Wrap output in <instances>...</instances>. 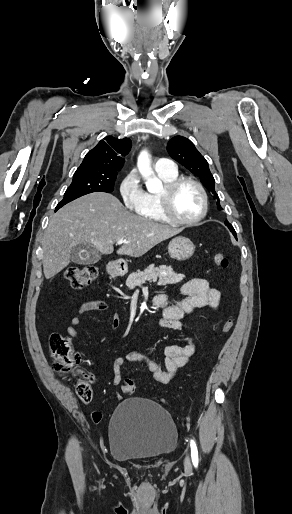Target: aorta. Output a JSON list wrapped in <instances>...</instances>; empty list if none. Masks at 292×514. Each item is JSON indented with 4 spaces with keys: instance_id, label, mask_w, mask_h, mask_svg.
Masks as SVG:
<instances>
[{
    "instance_id": "1",
    "label": "aorta",
    "mask_w": 292,
    "mask_h": 514,
    "mask_svg": "<svg viewBox=\"0 0 292 514\" xmlns=\"http://www.w3.org/2000/svg\"><path fill=\"white\" fill-rule=\"evenodd\" d=\"M137 166L141 176H143V178L147 180L146 186L148 190H154V188H157V186H159L160 184V180H157V178H150L153 172L150 168V162L147 152H142V154H140Z\"/></svg>"
}]
</instances>
